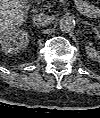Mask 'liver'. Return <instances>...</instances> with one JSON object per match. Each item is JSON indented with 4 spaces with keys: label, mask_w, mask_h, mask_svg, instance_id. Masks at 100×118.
Instances as JSON below:
<instances>
[{
    "label": "liver",
    "mask_w": 100,
    "mask_h": 118,
    "mask_svg": "<svg viewBox=\"0 0 100 118\" xmlns=\"http://www.w3.org/2000/svg\"><path fill=\"white\" fill-rule=\"evenodd\" d=\"M25 20V13L20 0H1L0 30L1 33L21 25Z\"/></svg>",
    "instance_id": "1"
}]
</instances>
